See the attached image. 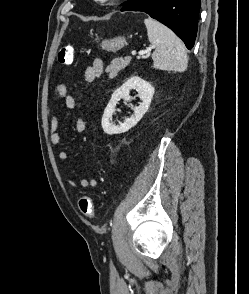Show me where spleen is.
I'll list each match as a JSON object with an SVG mask.
<instances>
[{
	"mask_svg": "<svg viewBox=\"0 0 249 294\" xmlns=\"http://www.w3.org/2000/svg\"><path fill=\"white\" fill-rule=\"evenodd\" d=\"M148 39L155 51L152 54L153 67L160 70L184 72L188 58L180 39L162 23L147 18L144 20Z\"/></svg>",
	"mask_w": 249,
	"mask_h": 294,
	"instance_id": "spleen-1",
	"label": "spleen"
}]
</instances>
